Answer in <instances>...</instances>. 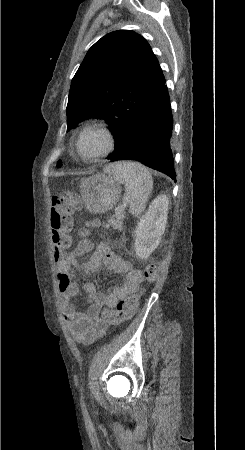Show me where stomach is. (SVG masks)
Segmentation results:
<instances>
[{
    "instance_id": "0dacf381",
    "label": "stomach",
    "mask_w": 245,
    "mask_h": 450,
    "mask_svg": "<svg viewBox=\"0 0 245 450\" xmlns=\"http://www.w3.org/2000/svg\"><path fill=\"white\" fill-rule=\"evenodd\" d=\"M112 173H97L82 179L79 185L86 209L93 214L111 210L119 201L122 188Z\"/></svg>"
}]
</instances>
